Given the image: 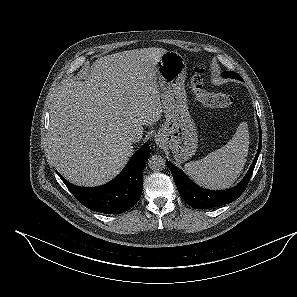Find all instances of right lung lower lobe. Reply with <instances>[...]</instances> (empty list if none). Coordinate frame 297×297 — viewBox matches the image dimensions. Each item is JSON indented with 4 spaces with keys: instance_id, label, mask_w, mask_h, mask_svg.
<instances>
[{
    "instance_id": "right-lung-lower-lobe-1",
    "label": "right lung lower lobe",
    "mask_w": 297,
    "mask_h": 297,
    "mask_svg": "<svg viewBox=\"0 0 297 297\" xmlns=\"http://www.w3.org/2000/svg\"><path fill=\"white\" fill-rule=\"evenodd\" d=\"M149 155L150 147L144 144L115 179L96 188L75 186L58 172L57 174L85 207L100 213H123L132 208L141 197L143 168Z\"/></svg>"
}]
</instances>
